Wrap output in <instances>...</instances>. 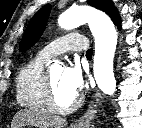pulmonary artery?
Here are the masks:
<instances>
[{"label": "pulmonary artery", "mask_w": 142, "mask_h": 128, "mask_svg": "<svg viewBox=\"0 0 142 128\" xmlns=\"http://www.w3.org/2000/svg\"><path fill=\"white\" fill-rule=\"evenodd\" d=\"M88 42L87 39L78 33H69L62 36L41 50V54L45 57H53L68 51H87Z\"/></svg>", "instance_id": "1"}]
</instances>
